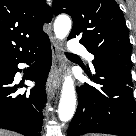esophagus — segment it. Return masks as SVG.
I'll return each mask as SVG.
<instances>
[{"label":"esophagus","instance_id":"34e87169","mask_svg":"<svg viewBox=\"0 0 136 136\" xmlns=\"http://www.w3.org/2000/svg\"><path fill=\"white\" fill-rule=\"evenodd\" d=\"M51 40V50H52V67L47 79L46 90L48 94H52L60 86V72L64 66L62 57V45L59 40H57L52 35Z\"/></svg>","mask_w":136,"mask_h":136}]
</instances>
